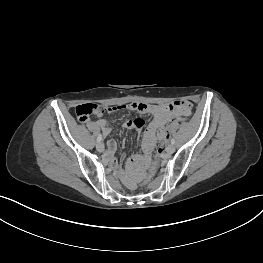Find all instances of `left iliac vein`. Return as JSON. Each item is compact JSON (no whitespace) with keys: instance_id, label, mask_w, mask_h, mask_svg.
I'll list each match as a JSON object with an SVG mask.
<instances>
[{"instance_id":"1","label":"left iliac vein","mask_w":263,"mask_h":263,"mask_svg":"<svg viewBox=\"0 0 263 263\" xmlns=\"http://www.w3.org/2000/svg\"><path fill=\"white\" fill-rule=\"evenodd\" d=\"M166 151H167L168 154L174 153V151H175L174 145H173V144H169V145L167 146V148H166Z\"/></svg>"}]
</instances>
